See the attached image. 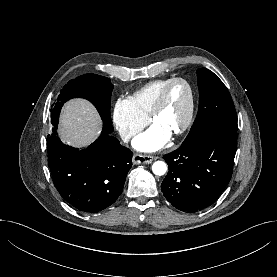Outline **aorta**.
<instances>
[{
    "instance_id": "obj_1",
    "label": "aorta",
    "mask_w": 277,
    "mask_h": 277,
    "mask_svg": "<svg viewBox=\"0 0 277 277\" xmlns=\"http://www.w3.org/2000/svg\"><path fill=\"white\" fill-rule=\"evenodd\" d=\"M152 171L157 176H162L167 171V165L163 161H156L152 165Z\"/></svg>"
}]
</instances>
